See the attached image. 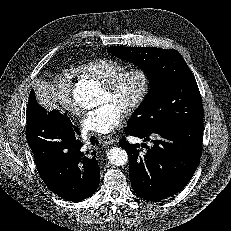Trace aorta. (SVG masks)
<instances>
[{
	"instance_id": "obj_1",
	"label": "aorta",
	"mask_w": 231,
	"mask_h": 231,
	"mask_svg": "<svg viewBox=\"0 0 231 231\" xmlns=\"http://www.w3.org/2000/svg\"><path fill=\"white\" fill-rule=\"evenodd\" d=\"M99 88L96 84L86 80L79 81L73 89V98L82 108H92L97 104L96 96ZM107 158L115 166H124L128 162L126 150L120 147L111 148L107 153Z\"/></svg>"
}]
</instances>
